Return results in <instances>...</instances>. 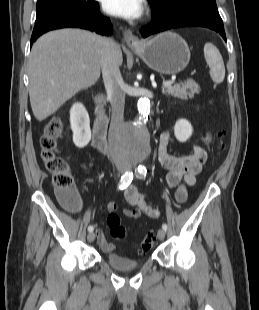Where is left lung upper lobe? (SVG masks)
Masks as SVG:
<instances>
[{
	"label": "left lung upper lobe",
	"instance_id": "obj_1",
	"mask_svg": "<svg viewBox=\"0 0 259 310\" xmlns=\"http://www.w3.org/2000/svg\"><path fill=\"white\" fill-rule=\"evenodd\" d=\"M153 8L152 21H160L190 9L217 10L215 0H148Z\"/></svg>",
	"mask_w": 259,
	"mask_h": 310
}]
</instances>
